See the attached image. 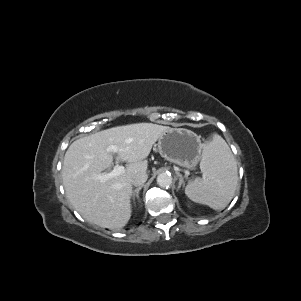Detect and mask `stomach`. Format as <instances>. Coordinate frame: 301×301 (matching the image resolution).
<instances>
[{"label": "stomach", "mask_w": 301, "mask_h": 301, "mask_svg": "<svg viewBox=\"0 0 301 301\" xmlns=\"http://www.w3.org/2000/svg\"><path fill=\"white\" fill-rule=\"evenodd\" d=\"M200 136L186 128H168L158 139L160 155L177 165L194 169L202 157Z\"/></svg>", "instance_id": "stomach-1"}]
</instances>
